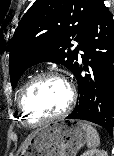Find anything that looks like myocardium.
<instances>
[{"label":"myocardium","instance_id":"f54148a6","mask_svg":"<svg viewBox=\"0 0 114 156\" xmlns=\"http://www.w3.org/2000/svg\"><path fill=\"white\" fill-rule=\"evenodd\" d=\"M56 78L59 79L60 81H62L64 83V85L66 86L67 90H68V101L64 107V109L62 111H60L59 113L50 116V117H46L37 121H30L27 117V114L23 108L22 105V99L23 96L25 95V93L27 92V90L37 81L43 79V78ZM75 99H76V93H75V89L72 86V84L60 73L56 72V71H44L41 73L36 74L35 76H33L31 79H29L21 88L19 94H18V98H17V106L19 108V111L22 115V120L23 122L29 126V127H36L39 126L43 123H47L50 121H54V120H58L62 117H64L65 115H67L69 113V111L72 109L74 103H75Z\"/></svg>","mask_w":114,"mask_h":156}]
</instances>
